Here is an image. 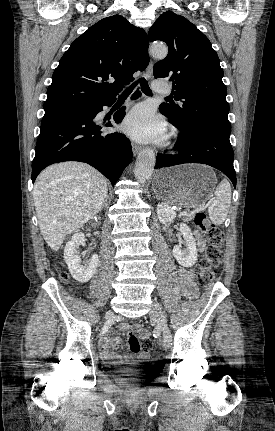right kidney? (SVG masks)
<instances>
[{"label": "right kidney", "instance_id": "ca27d5eb", "mask_svg": "<svg viewBox=\"0 0 275 431\" xmlns=\"http://www.w3.org/2000/svg\"><path fill=\"white\" fill-rule=\"evenodd\" d=\"M85 241L84 234L77 232L64 248V260L69 271L72 277L81 283L88 282L92 278L99 260L97 254H93L89 260H82L79 255V246L83 245Z\"/></svg>", "mask_w": 275, "mask_h": 431}]
</instances>
